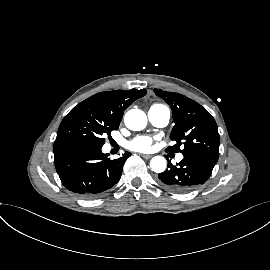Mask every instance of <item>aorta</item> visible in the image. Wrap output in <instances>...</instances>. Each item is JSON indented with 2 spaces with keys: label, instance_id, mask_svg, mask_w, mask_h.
<instances>
[{
  "label": "aorta",
  "instance_id": "obj_1",
  "mask_svg": "<svg viewBox=\"0 0 270 270\" xmlns=\"http://www.w3.org/2000/svg\"><path fill=\"white\" fill-rule=\"evenodd\" d=\"M124 122L130 130L140 131L147 125V116L142 110L131 109L126 112ZM166 166V159L162 156H155L150 161L151 170L156 173L163 172L166 169Z\"/></svg>",
  "mask_w": 270,
  "mask_h": 270
}]
</instances>
